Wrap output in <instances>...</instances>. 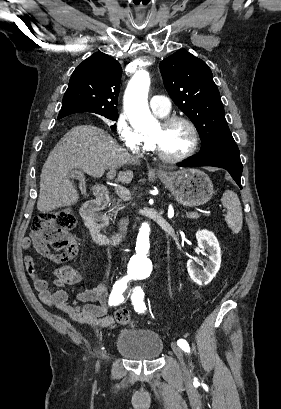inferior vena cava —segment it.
Wrapping results in <instances>:
<instances>
[{"label": "inferior vena cava", "mask_w": 281, "mask_h": 409, "mask_svg": "<svg viewBox=\"0 0 281 409\" xmlns=\"http://www.w3.org/2000/svg\"><path fill=\"white\" fill-rule=\"evenodd\" d=\"M128 225H129V219H121V221H119L118 223V231H120L122 235H126Z\"/></svg>", "instance_id": "1"}]
</instances>
